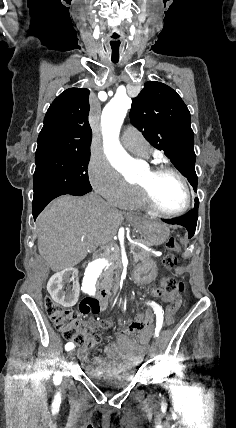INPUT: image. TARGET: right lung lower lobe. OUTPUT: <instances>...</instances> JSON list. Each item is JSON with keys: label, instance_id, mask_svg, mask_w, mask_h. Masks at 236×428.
Here are the masks:
<instances>
[{"label": "right lung lower lobe", "instance_id": "1", "mask_svg": "<svg viewBox=\"0 0 236 428\" xmlns=\"http://www.w3.org/2000/svg\"><path fill=\"white\" fill-rule=\"evenodd\" d=\"M91 190H71V191H63V192H57L52 193L49 195H46L44 197L38 198L33 200V217L34 220L37 218V216L40 214V212L45 208V206L54 198L64 195V194H70L74 196H82Z\"/></svg>", "mask_w": 236, "mask_h": 428}]
</instances>
